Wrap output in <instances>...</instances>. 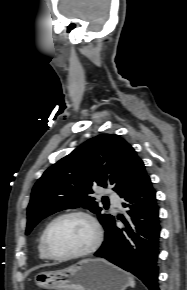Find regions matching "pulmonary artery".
Wrapping results in <instances>:
<instances>
[{
    "mask_svg": "<svg viewBox=\"0 0 187 290\" xmlns=\"http://www.w3.org/2000/svg\"><path fill=\"white\" fill-rule=\"evenodd\" d=\"M108 196H109L110 200L115 204V206L120 207V203L117 201L115 193L110 192L108 194Z\"/></svg>",
    "mask_w": 187,
    "mask_h": 290,
    "instance_id": "pulmonary-artery-1",
    "label": "pulmonary artery"
}]
</instances>
